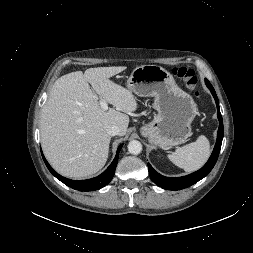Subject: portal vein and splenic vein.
<instances>
[{"label":"portal vein and splenic vein","instance_id":"18ae733b","mask_svg":"<svg viewBox=\"0 0 253 253\" xmlns=\"http://www.w3.org/2000/svg\"><path fill=\"white\" fill-rule=\"evenodd\" d=\"M96 97H97V96H96ZM97 98H98V97H97ZM99 103H100L101 108H102L104 111L108 110V104H107L104 100H102V99L100 98Z\"/></svg>","mask_w":253,"mask_h":253}]
</instances>
